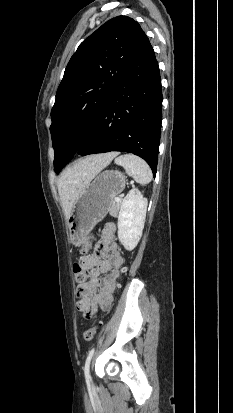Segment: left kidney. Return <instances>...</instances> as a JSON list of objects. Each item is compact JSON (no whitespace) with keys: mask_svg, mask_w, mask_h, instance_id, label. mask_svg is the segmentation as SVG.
<instances>
[{"mask_svg":"<svg viewBox=\"0 0 233 413\" xmlns=\"http://www.w3.org/2000/svg\"><path fill=\"white\" fill-rule=\"evenodd\" d=\"M147 205V199L138 189H132L122 202L118 216V238L128 251H132L140 241Z\"/></svg>","mask_w":233,"mask_h":413,"instance_id":"1","label":"left kidney"}]
</instances>
